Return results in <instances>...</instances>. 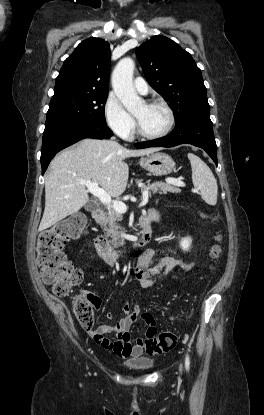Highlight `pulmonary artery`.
<instances>
[{"label": "pulmonary artery", "instance_id": "pulmonary-artery-1", "mask_svg": "<svg viewBox=\"0 0 264 415\" xmlns=\"http://www.w3.org/2000/svg\"><path fill=\"white\" fill-rule=\"evenodd\" d=\"M134 88L140 94H147L149 91V86L146 81L141 77H136L133 81Z\"/></svg>", "mask_w": 264, "mask_h": 415}]
</instances>
